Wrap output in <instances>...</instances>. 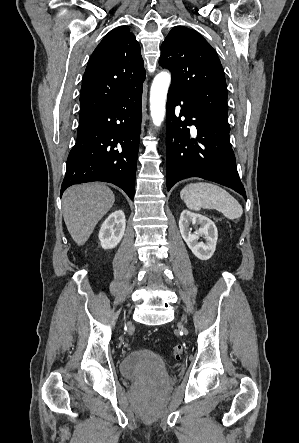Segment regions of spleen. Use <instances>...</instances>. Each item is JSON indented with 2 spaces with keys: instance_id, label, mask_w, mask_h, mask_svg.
<instances>
[{
  "instance_id": "obj_1",
  "label": "spleen",
  "mask_w": 299,
  "mask_h": 443,
  "mask_svg": "<svg viewBox=\"0 0 299 443\" xmlns=\"http://www.w3.org/2000/svg\"><path fill=\"white\" fill-rule=\"evenodd\" d=\"M180 197L190 210L216 209L231 220L237 219L243 214L239 202L226 190L215 184L207 182L188 184L181 190Z\"/></svg>"
}]
</instances>
